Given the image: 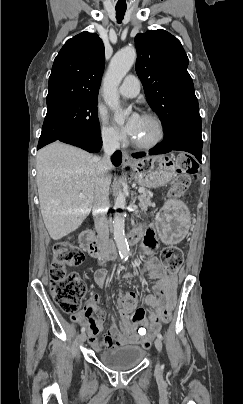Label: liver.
Returning a JSON list of instances; mask_svg holds the SVG:
<instances>
[{"instance_id": "6515ba94", "label": "liver", "mask_w": 243, "mask_h": 404, "mask_svg": "<svg viewBox=\"0 0 243 404\" xmlns=\"http://www.w3.org/2000/svg\"><path fill=\"white\" fill-rule=\"evenodd\" d=\"M36 162L43 222L50 238L61 240L77 230L91 212L99 158L54 142L39 150Z\"/></svg>"}]
</instances>
